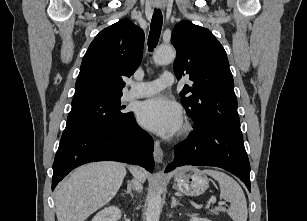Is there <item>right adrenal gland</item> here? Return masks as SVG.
<instances>
[{"label":"right adrenal gland","instance_id":"right-adrenal-gland-1","mask_svg":"<svg viewBox=\"0 0 307 221\" xmlns=\"http://www.w3.org/2000/svg\"><path fill=\"white\" fill-rule=\"evenodd\" d=\"M132 188H133L132 185L128 182L127 183V190L125 192L130 194L131 197L133 198Z\"/></svg>","mask_w":307,"mask_h":221}]
</instances>
